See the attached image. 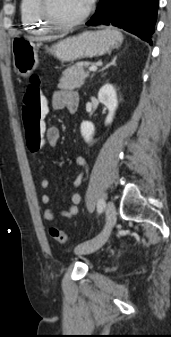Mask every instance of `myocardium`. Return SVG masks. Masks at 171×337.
Wrapping results in <instances>:
<instances>
[{"mask_svg":"<svg viewBox=\"0 0 171 337\" xmlns=\"http://www.w3.org/2000/svg\"><path fill=\"white\" fill-rule=\"evenodd\" d=\"M92 7L88 5L86 10L78 17L71 20H60L55 17L52 10V0H39V11L41 18L50 26L57 29L74 27L82 23L91 13Z\"/></svg>","mask_w":171,"mask_h":337,"instance_id":"myocardium-1","label":"myocardium"}]
</instances>
